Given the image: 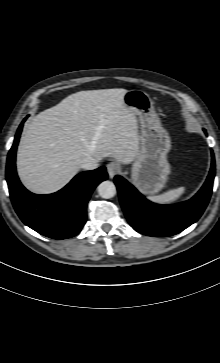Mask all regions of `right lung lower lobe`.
Here are the masks:
<instances>
[{
	"mask_svg": "<svg viewBox=\"0 0 220 363\" xmlns=\"http://www.w3.org/2000/svg\"><path fill=\"white\" fill-rule=\"evenodd\" d=\"M23 122L7 158L6 180L13 206L20 219L36 232L54 239L73 237L86 222V207L92 191L108 177L106 169L100 167L80 173L53 194L36 195L29 192L20 183L15 168L16 148Z\"/></svg>",
	"mask_w": 220,
	"mask_h": 363,
	"instance_id": "1",
	"label": "right lung lower lobe"
}]
</instances>
